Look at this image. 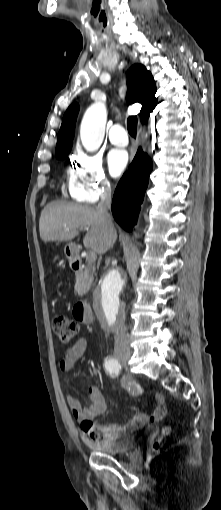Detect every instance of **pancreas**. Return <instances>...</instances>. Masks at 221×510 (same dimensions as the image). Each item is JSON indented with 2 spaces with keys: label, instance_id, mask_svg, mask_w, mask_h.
<instances>
[{
  "label": "pancreas",
  "instance_id": "cf45deb5",
  "mask_svg": "<svg viewBox=\"0 0 221 510\" xmlns=\"http://www.w3.org/2000/svg\"><path fill=\"white\" fill-rule=\"evenodd\" d=\"M94 265L88 263L83 273L76 275L75 291L83 296L90 288L93 282Z\"/></svg>",
  "mask_w": 221,
  "mask_h": 510
}]
</instances>
